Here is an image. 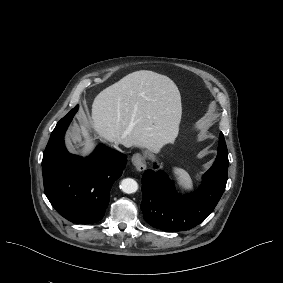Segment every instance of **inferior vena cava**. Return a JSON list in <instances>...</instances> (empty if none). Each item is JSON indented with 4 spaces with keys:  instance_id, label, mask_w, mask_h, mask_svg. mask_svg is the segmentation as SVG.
I'll use <instances>...</instances> for the list:
<instances>
[{
    "instance_id": "1",
    "label": "inferior vena cava",
    "mask_w": 283,
    "mask_h": 283,
    "mask_svg": "<svg viewBox=\"0 0 283 283\" xmlns=\"http://www.w3.org/2000/svg\"><path fill=\"white\" fill-rule=\"evenodd\" d=\"M114 148H115V150H117L118 152H122V150H121L119 147L114 146Z\"/></svg>"
}]
</instances>
